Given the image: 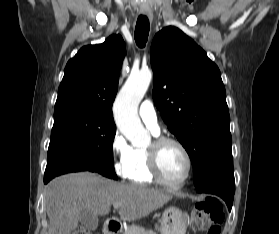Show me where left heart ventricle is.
Returning <instances> with one entry per match:
<instances>
[{
    "instance_id": "obj_1",
    "label": "left heart ventricle",
    "mask_w": 279,
    "mask_h": 234,
    "mask_svg": "<svg viewBox=\"0 0 279 234\" xmlns=\"http://www.w3.org/2000/svg\"><path fill=\"white\" fill-rule=\"evenodd\" d=\"M160 168L169 182H178L185 175L187 164L182 151L173 144H166L160 154Z\"/></svg>"
}]
</instances>
